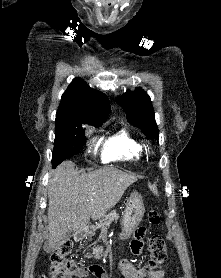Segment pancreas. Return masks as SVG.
I'll return each mask as SVG.
<instances>
[{
  "mask_svg": "<svg viewBox=\"0 0 221 278\" xmlns=\"http://www.w3.org/2000/svg\"><path fill=\"white\" fill-rule=\"evenodd\" d=\"M118 214L116 210L111 211L108 215L104 216V218L100 222H95L93 225L96 227H108L112 221L118 219Z\"/></svg>",
  "mask_w": 221,
  "mask_h": 278,
  "instance_id": "cf45deb5",
  "label": "pancreas"
}]
</instances>
